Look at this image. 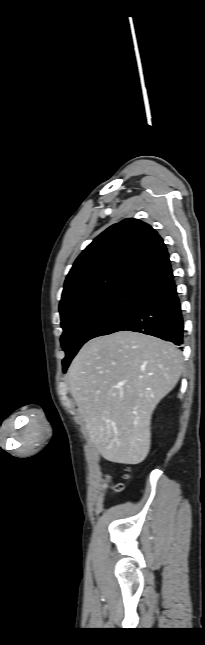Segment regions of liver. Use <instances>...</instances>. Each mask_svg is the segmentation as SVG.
Instances as JSON below:
<instances>
[{
  "label": "liver",
  "mask_w": 205,
  "mask_h": 645,
  "mask_svg": "<svg viewBox=\"0 0 205 645\" xmlns=\"http://www.w3.org/2000/svg\"><path fill=\"white\" fill-rule=\"evenodd\" d=\"M183 356L174 344L120 331L88 341L68 378L90 442L108 461L139 464L151 444V417L176 386Z\"/></svg>",
  "instance_id": "obj_1"
}]
</instances>
